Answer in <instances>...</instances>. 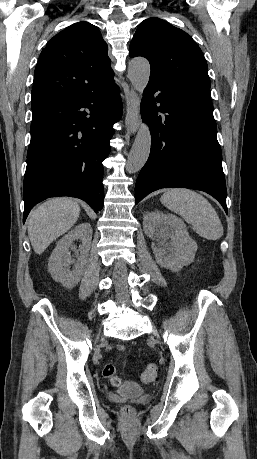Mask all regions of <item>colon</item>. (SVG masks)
Listing matches in <instances>:
<instances>
[{"mask_svg": "<svg viewBox=\"0 0 257 459\" xmlns=\"http://www.w3.org/2000/svg\"><path fill=\"white\" fill-rule=\"evenodd\" d=\"M158 369L156 364H149L141 373V379L143 382H153L157 378ZM102 375L104 378L110 381L113 386H118L121 382L120 378L116 372V366L112 362H108L104 365L102 370ZM123 413L125 416H132L133 409L130 406L123 408Z\"/></svg>", "mask_w": 257, "mask_h": 459, "instance_id": "5ec220e1", "label": "colon"}]
</instances>
